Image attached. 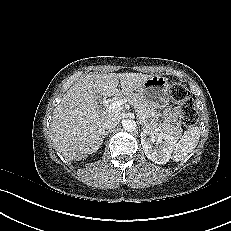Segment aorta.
<instances>
[{
  "instance_id": "762f6f07",
  "label": "aorta",
  "mask_w": 231,
  "mask_h": 231,
  "mask_svg": "<svg viewBox=\"0 0 231 231\" xmlns=\"http://www.w3.org/2000/svg\"><path fill=\"white\" fill-rule=\"evenodd\" d=\"M136 127H137V125H136V122L134 120L127 119V120L123 121V128L126 131L132 132V131L136 130Z\"/></svg>"
}]
</instances>
